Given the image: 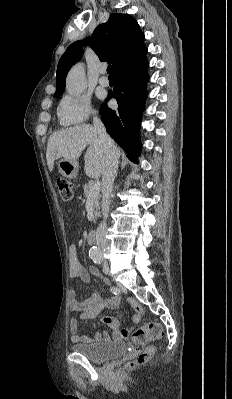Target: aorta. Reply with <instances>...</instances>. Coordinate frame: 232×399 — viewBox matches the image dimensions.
Returning a JSON list of instances; mask_svg holds the SVG:
<instances>
[{
	"mask_svg": "<svg viewBox=\"0 0 232 399\" xmlns=\"http://www.w3.org/2000/svg\"><path fill=\"white\" fill-rule=\"evenodd\" d=\"M86 88L85 71L82 65H76L69 72L66 80V89L71 95H80ZM99 253L97 248L91 249V254L96 255Z\"/></svg>",
	"mask_w": 232,
	"mask_h": 399,
	"instance_id": "aorta-1",
	"label": "aorta"
}]
</instances>
